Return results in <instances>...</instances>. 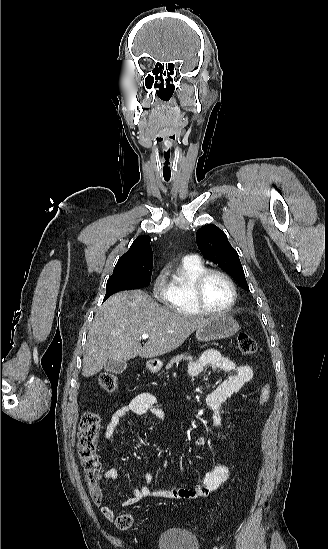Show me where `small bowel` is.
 I'll list each match as a JSON object with an SVG mask.
<instances>
[{
    "label": "small bowel",
    "instance_id": "small-bowel-1",
    "mask_svg": "<svg viewBox=\"0 0 328 549\" xmlns=\"http://www.w3.org/2000/svg\"><path fill=\"white\" fill-rule=\"evenodd\" d=\"M205 367L232 373L231 376L206 396V406L210 412L211 423L214 427L218 428L222 422L220 411L222 403L249 383L253 378L254 372L250 365L238 364L231 357L213 349L205 351L197 360L190 362L188 373L192 377H197L201 375ZM156 403L157 399L152 393L144 392L135 396L129 403L118 408L112 414L105 427V438H114L119 425L130 414L136 416L151 415L164 421L165 415L157 407ZM206 444L207 439L204 436H199L194 441L196 447H204ZM165 464L164 462L163 467ZM117 476L118 474L115 469H109L104 473V480L115 481ZM156 476V472H147L144 475L145 485L135 488L131 496L123 502V505L132 506L142 499L153 495L174 500L204 498L218 490L229 479L230 470L226 465L218 464L208 470L201 481L192 487H171L153 490L150 485L155 482ZM101 511L109 519L114 516L113 510L108 506H101Z\"/></svg>",
    "mask_w": 328,
    "mask_h": 549
}]
</instances>
